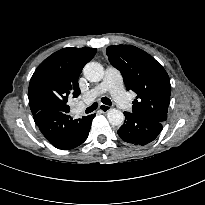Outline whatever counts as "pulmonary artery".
Returning <instances> with one entry per match:
<instances>
[{
	"instance_id": "1",
	"label": "pulmonary artery",
	"mask_w": 205,
	"mask_h": 205,
	"mask_svg": "<svg viewBox=\"0 0 205 205\" xmlns=\"http://www.w3.org/2000/svg\"><path fill=\"white\" fill-rule=\"evenodd\" d=\"M109 91L118 106L122 110H129L131 107L127 93L124 90L122 77L118 70L108 67L101 83L92 88L85 96L84 101H92L101 94Z\"/></svg>"
}]
</instances>
